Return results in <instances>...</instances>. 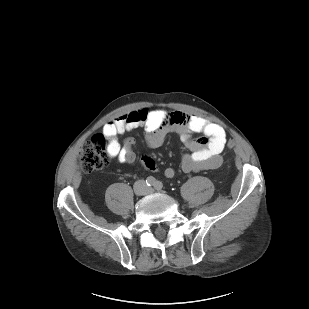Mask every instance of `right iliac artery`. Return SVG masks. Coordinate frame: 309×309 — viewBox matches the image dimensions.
Masks as SVG:
<instances>
[{"instance_id": "82829eb1", "label": "right iliac artery", "mask_w": 309, "mask_h": 309, "mask_svg": "<svg viewBox=\"0 0 309 309\" xmlns=\"http://www.w3.org/2000/svg\"><path fill=\"white\" fill-rule=\"evenodd\" d=\"M155 182H156V180H155L154 177H148V178L146 179V184H147L148 186H153V185L155 184Z\"/></svg>"}]
</instances>
